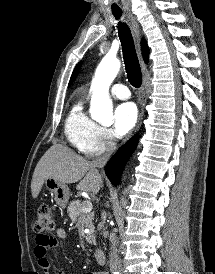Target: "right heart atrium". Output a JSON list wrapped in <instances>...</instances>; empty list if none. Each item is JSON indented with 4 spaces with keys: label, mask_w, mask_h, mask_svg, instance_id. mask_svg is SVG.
<instances>
[{
    "label": "right heart atrium",
    "mask_w": 215,
    "mask_h": 274,
    "mask_svg": "<svg viewBox=\"0 0 215 274\" xmlns=\"http://www.w3.org/2000/svg\"><path fill=\"white\" fill-rule=\"evenodd\" d=\"M115 147V139L110 129L97 125L90 136L83 153L88 156H98Z\"/></svg>",
    "instance_id": "d8ad5b80"
}]
</instances>
